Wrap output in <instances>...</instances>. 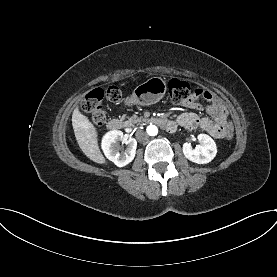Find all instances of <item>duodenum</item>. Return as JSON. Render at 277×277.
Listing matches in <instances>:
<instances>
[{
  "instance_id": "obj_1",
  "label": "duodenum",
  "mask_w": 277,
  "mask_h": 277,
  "mask_svg": "<svg viewBox=\"0 0 277 277\" xmlns=\"http://www.w3.org/2000/svg\"><path fill=\"white\" fill-rule=\"evenodd\" d=\"M150 121L160 125L161 127L165 128L167 131L172 132L176 129V124L173 121H170L166 118H162V117H152L150 118ZM124 123L122 120L118 119V118H112L108 121L107 123V127L110 130H118L123 128Z\"/></svg>"
}]
</instances>
